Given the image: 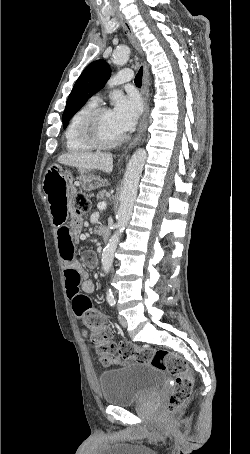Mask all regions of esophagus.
<instances>
[{
	"label": "esophagus",
	"instance_id": "34e87169",
	"mask_svg": "<svg viewBox=\"0 0 250 454\" xmlns=\"http://www.w3.org/2000/svg\"><path fill=\"white\" fill-rule=\"evenodd\" d=\"M118 19L123 26L125 34L128 36L129 40L131 41L132 45L135 49L143 55L142 48L140 42L136 35L134 34L131 25L129 24L128 20L123 15H118ZM148 65L144 62V87H143V96H144V112L143 116L138 128V132L134 138L133 144L137 143L144 135V132L147 127V118H148V85H147V77H148Z\"/></svg>",
	"mask_w": 250,
	"mask_h": 454
}]
</instances>
